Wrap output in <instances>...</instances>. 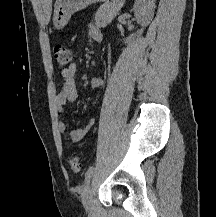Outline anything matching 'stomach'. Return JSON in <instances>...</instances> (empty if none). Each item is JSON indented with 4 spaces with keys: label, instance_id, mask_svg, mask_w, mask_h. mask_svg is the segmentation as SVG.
Instances as JSON below:
<instances>
[{
    "label": "stomach",
    "instance_id": "0dacf381",
    "mask_svg": "<svg viewBox=\"0 0 216 217\" xmlns=\"http://www.w3.org/2000/svg\"><path fill=\"white\" fill-rule=\"evenodd\" d=\"M98 2H108V0H56L53 14L54 27L58 30L63 29L72 14Z\"/></svg>",
    "mask_w": 216,
    "mask_h": 217
}]
</instances>
